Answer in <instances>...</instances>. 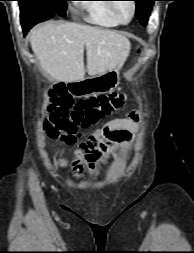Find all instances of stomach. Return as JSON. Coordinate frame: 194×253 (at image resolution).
<instances>
[{"label":"stomach","mask_w":194,"mask_h":253,"mask_svg":"<svg viewBox=\"0 0 194 253\" xmlns=\"http://www.w3.org/2000/svg\"><path fill=\"white\" fill-rule=\"evenodd\" d=\"M120 68L121 67H115L99 75L70 82L69 91L76 97H88L93 94L110 92L119 84Z\"/></svg>","instance_id":"1"}]
</instances>
